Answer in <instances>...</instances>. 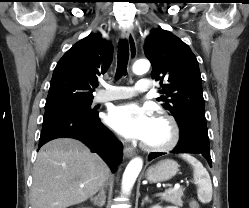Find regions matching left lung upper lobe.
<instances>
[{
  "label": "left lung upper lobe",
  "mask_w": 249,
  "mask_h": 208,
  "mask_svg": "<svg viewBox=\"0 0 249 208\" xmlns=\"http://www.w3.org/2000/svg\"><path fill=\"white\" fill-rule=\"evenodd\" d=\"M144 52L152 64L151 77L160 81L166 96L157 98L177 123L196 116L205 119L198 61L181 39L161 28L145 39Z\"/></svg>",
  "instance_id": "5c2ea615"
}]
</instances>
